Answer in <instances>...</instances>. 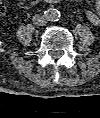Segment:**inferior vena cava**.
I'll return each instance as SVG.
<instances>
[{
    "label": "inferior vena cava",
    "instance_id": "602c4592",
    "mask_svg": "<svg viewBox=\"0 0 100 118\" xmlns=\"http://www.w3.org/2000/svg\"><path fill=\"white\" fill-rule=\"evenodd\" d=\"M32 20H33V24L37 26H44L47 23V17L42 14H35Z\"/></svg>",
    "mask_w": 100,
    "mask_h": 118
}]
</instances>
